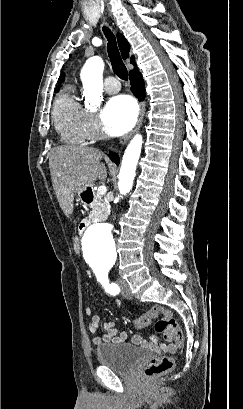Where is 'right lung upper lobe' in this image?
Instances as JSON below:
<instances>
[{
  "instance_id": "right-lung-upper-lobe-1",
  "label": "right lung upper lobe",
  "mask_w": 243,
  "mask_h": 409,
  "mask_svg": "<svg viewBox=\"0 0 243 409\" xmlns=\"http://www.w3.org/2000/svg\"><path fill=\"white\" fill-rule=\"evenodd\" d=\"M117 39H118V45L122 54L123 59H126L129 57V51H130V45L127 42V40L124 38L123 35L121 34H117ZM131 63H133L135 65V61H134V57H131ZM136 70H133L130 72V74H132L133 72H135ZM63 78H64V74H61V77L58 80V83H62L63 82ZM57 91V90H56Z\"/></svg>"
}]
</instances>
